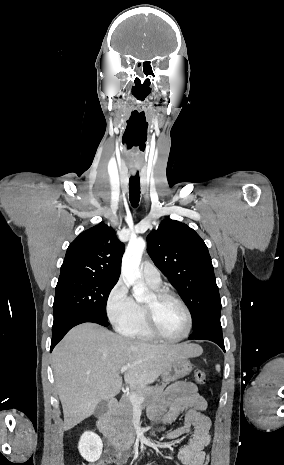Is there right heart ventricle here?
<instances>
[{"label": "right heart ventricle", "mask_w": 284, "mask_h": 465, "mask_svg": "<svg viewBox=\"0 0 284 465\" xmlns=\"http://www.w3.org/2000/svg\"><path fill=\"white\" fill-rule=\"evenodd\" d=\"M152 286V285H150ZM154 289H157L158 286H152ZM146 321L143 306L137 305L135 314L133 318L126 324L120 327L121 334L128 339L140 341V342H150L154 341L148 332L145 329L144 322Z\"/></svg>", "instance_id": "e07e8e85"}]
</instances>
